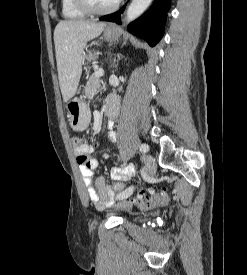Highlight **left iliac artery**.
<instances>
[{
  "label": "left iliac artery",
  "instance_id": "left-iliac-artery-1",
  "mask_svg": "<svg viewBox=\"0 0 247 275\" xmlns=\"http://www.w3.org/2000/svg\"><path fill=\"white\" fill-rule=\"evenodd\" d=\"M148 150H149V146L147 144L140 145V151L141 152L146 153V152H148ZM132 189H133V186L128 188V190H132ZM125 195H126V192H122V193L117 195V199H123V198H125Z\"/></svg>",
  "mask_w": 247,
  "mask_h": 275
}]
</instances>
